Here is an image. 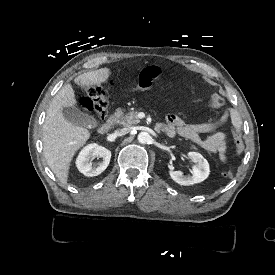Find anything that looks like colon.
<instances>
[{
  "label": "colon",
  "instance_id": "1",
  "mask_svg": "<svg viewBox=\"0 0 275 275\" xmlns=\"http://www.w3.org/2000/svg\"><path fill=\"white\" fill-rule=\"evenodd\" d=\"M87 89L92 90V97L87 95L79 97V105L86 111H95L96 118H103L108 107V98L106 97V92L100 88H95L94 83H88ZM208 104L213 107H223L225 105V99L222 95L212 94L208 99ZM235 145L237 153H241L243 151V143L238 133L235 134ZM223 176L226 178L232 177V170H224Z\"/></svg>",
  "mask_w": 275,
  "mask_h": 275
}]
</instances>
